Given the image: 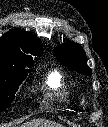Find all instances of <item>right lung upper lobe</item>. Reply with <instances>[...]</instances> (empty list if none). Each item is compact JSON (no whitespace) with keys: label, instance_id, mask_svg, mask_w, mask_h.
I'll return each instance as SVG.
<instances>
[{"label":"right lung upper lobe","instance_id":"1","mask_svg":"<svg viewBox=\"0 0 108 127\" xmlns=\"http://www.w3.org/2000/svg\"><path fill=\"white\" fill-rule=\"evenodd\" d=\"M42 48L41 41L33 34L13 29L0 38V61L32 66L31 55L41 56Z\"/></svg>","mask_w":108,"mask_h":127}]
</instances>
